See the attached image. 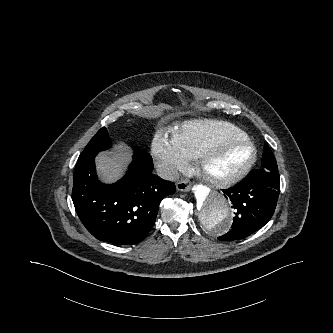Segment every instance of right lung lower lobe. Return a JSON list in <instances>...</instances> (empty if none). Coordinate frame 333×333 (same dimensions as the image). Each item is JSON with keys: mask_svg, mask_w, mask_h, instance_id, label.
<instances>
[{"mask_svg": "<svg viewBox=\"0 0 333 333\" xmlns=\"http://www.w3.org/2000/svg\"><path fill=\"white\" fill-rule=\"evenodd\" d=\"M97 153H82L77 161L72 200L86 229L98 240L115 245L136 244L153 227L160 201L175 193V185L152 174L153 161L135 153L126 175L101 184L95 171Z\"/></svg>", "mask_w": 333, "mask_h": 333, "instance_id": "1", "label": "right lung lower lobe"}]
</instances>
